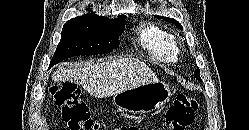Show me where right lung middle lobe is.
Returning <instances> with one entry per match:
<instances>
[{"label": "right lung middle lobe", "mask_w": 249, "mask_h": 130, "mask_svg": "<svg viewBox=\"0 0 249 130\" xmlns=\"http://www.w3.org/2000/svg\"><path fill=\"white\" fill-rule=\"evenodd\" d=\"M124 15L108 19L86 14L68 20L62 29L61 40L50 67L69 57L97 55L118 47V37L125 28Z\"/></svg>", "instance_id": "right-lung-middle-lobe-1"}]
</instances>
